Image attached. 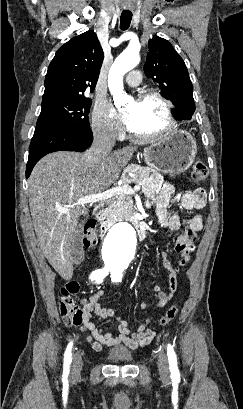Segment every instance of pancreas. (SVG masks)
<instances>
[{
    "label": "pancreas",
    "mask_w": 243,
    "mask_h": 409,
    "mask_svg": "<svg viewBox=\"0 0 243 409\" xmlns=\"http://www.w3.org/2000/svg\"><path fill=\"white\" fill-rule=\"evenodd\" d=\"M127 173H132L136 177L129 178L126 174L122 178L123 185L136 183L145 187L152 168L143 167L140 165L132 164L126 169ZM104 217L108 223H115L117 221L126 220L135 215L134 205L132 197L128 194L115 195V202L109 204L104 211Z\"/></svg>",
    "instance_id": "pancreas-1"
}]
</instances>
